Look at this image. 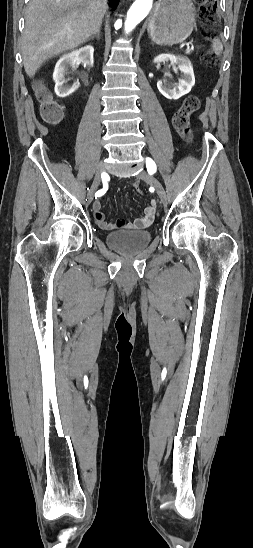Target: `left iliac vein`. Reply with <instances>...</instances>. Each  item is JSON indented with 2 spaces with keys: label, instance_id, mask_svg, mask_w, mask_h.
<instances>
[{
  "label": "left iliac vein",
  "instance_id": "obj_1",
  "mask_svg": "<svg viewBox=\"0 0 253 548\" xmlns=\"http://www.w3.org/2000/svg\"><path fill=\"white\" fill-rule=\"evenodd\" d=\"M139 178L145 180L152 187H154V189L156 190V193L158 194L159 198L163 202L165 201V198H166L165 190H164L162 184L160 183V181L156 177L149 175L146 171H141L139 173Z\"/></svg>",
  "mask_w": 253,
  "mask_h": 548
}]
</instances>
